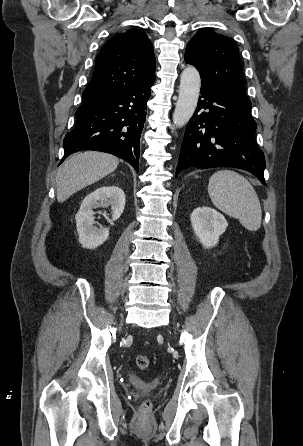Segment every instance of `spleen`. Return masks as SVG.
I'll return each mask as SVG.
<instances>
[{"label": "spleen", "instance_id": "1", "mask_svg": "<svg viewBox=\"0 0 303 446\" xmlns=\"http://www.w3.org/2000/svg\"><path fill=\"white\" fill-rule=\"evenodd\" d=\"M208 193L218 209L237 218L246 229L256 231L260 228V201L245 177L232 170H219L209 179Z\"/></svg>", "mask_w": 303, "mask_h": 446}]
</instances>
